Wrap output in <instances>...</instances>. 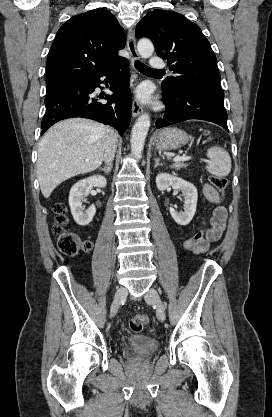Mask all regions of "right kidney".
Instances as JSON below:
<instances>
[{
	"label": "right kidney",
	"instance_id": "ca27d5eb",
	"mask_svg": "<svg viewBox=\"0 0 272 417\" xmlns=\"http://www.w3.org/2000/svg\"><path fill=\"white\" fill-rule=\"evenodd\" d=\"M106 184L107 180L105 177L95 175L80 180L72 186L69 194V206L72 216L78 225H88L96 213L94 205H91L87 210H85V207L82 205L84 198L89 195L93 186L104 188Z\"/></svg>",
	"mask_w": 272,
	"mask_h": 417
}]
</instances>
